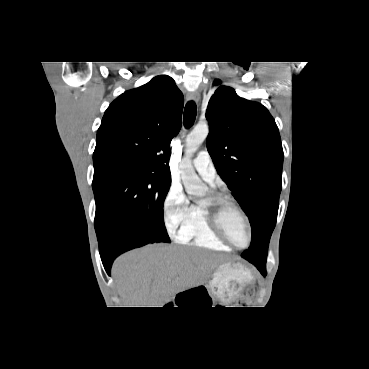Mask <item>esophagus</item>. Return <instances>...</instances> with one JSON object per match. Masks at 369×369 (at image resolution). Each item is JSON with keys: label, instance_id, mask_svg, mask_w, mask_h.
I'll use <instances>...</instances> for the list:
<instances>
[{"label": "esophagus", "instance_id": "1", "mask_svg": "<svg viewBox=\"0 0 369 369\" xmlns=\"http://www.w3.org/2000/svg\"><path fill=\"white\" fill-rule=\"evenodd\" d=\"M187 100H192L195 102H199L200 101V93L199 91H192L190 93L187 94Z\"/></svg>", "mask_w": 369, "mask_h": 369}]
</instances>
